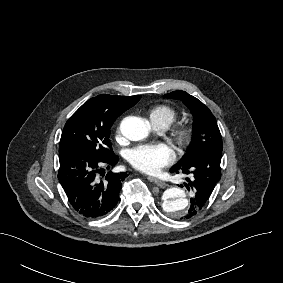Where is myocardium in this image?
Instances as JSON below:
<instances>
[{
  "label": "myocardium",
  "mask_w": 283,
  "mask_h": 283,
  "mask_svg": "<svg viewBox=\"0 0 283 283\" xmlns=\"http://www.w3.org/2000/svg\"><path fill=\"white\" fill-rule=\"evenodd\" d=\"M172 139L183 148L187 145L191 138V129L187 126H181L173 130L171 134ZM182 153L183 151L180 150Z\"/></svg>",
  "instance_id": "obj_1"
}]
</instances>
